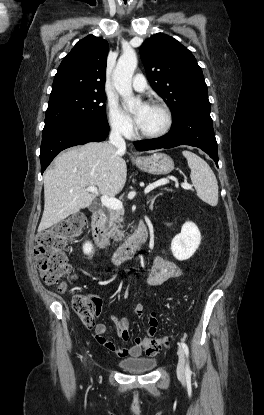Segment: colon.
<instances>
[{
	"label": "colon",
	"mask_w": 264,
	"mask_h": 415,
	"mask_svg": "<svg viewBox=\"0 0 264 415\" xmlns=\"http://www.w3.org/2000/svg\"><path fill=\"white\" fill-rule=\"evenodd\" d=\"M85 224L82 214H74L56 225L40 231L36 236L35 263L46 284L64 286L65 279L73 271L63 249L77 238ZM73 309L86 326H91L99 315L97 300L90 294L78 293L72 298ZM147 355L160 354L167 340L152 336L142 339Z\"/></svg>",
	"instance_id": "5ec220e1"
}]
</instances>
